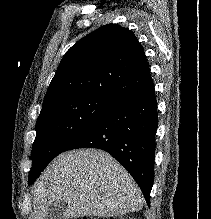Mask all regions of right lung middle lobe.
<instances>
[{
    "mask_svg": "<svg viewBox=\"0 0 211 219\" xmlns=\"http://www.w3.org/2000/svg\"><path fill=\"white\" fill-rule=\"evenodd\" d=\"M114 105L103 98L82 97L55 103L42 111L36 124L28 184L33 183L50 161Z\"/></svg>",
    "mask_w": 211,
    "mask_h": 219,
    "instance_id": "obj_1",
    "label": "right lung middle lobe"
}]
</instances>
